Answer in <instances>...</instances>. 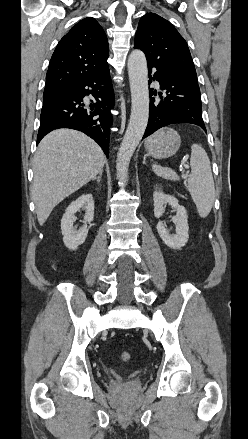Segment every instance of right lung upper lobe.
Instances as JSON below:
<instances>
[{
  "instance_id": "obj_1",
  "label": "right lung upper lobe",
  "mask_w": 248,
  "mask_h": 439,
  "mask_svg": "<svg viewBox=\"0 0 248 439\" xmlns=\"http://www.w3.org/2000/svg\"><path fill=\"white\" fill-rule=\"evenodd\" d=\"M108 55L103 28L92 17L81 20L60 40L52 55L43 98L105 69Z\"/></svg>"
}]
</instances>
